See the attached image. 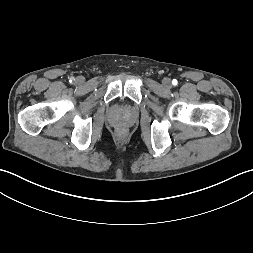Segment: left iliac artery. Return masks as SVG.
<instances>
[{
  "mask_svg": "<svg viewBox=\"0 0 253 253\" xmlns=\"http://www.w3.org/2000/svg\"><path fill=\"white\" fill-rule=\"evenodd\" d=\"M172 84H173V85H177V80H176V79H173Z\"/></svg>",
  "mask_w": 253,
  "mask_h": 253,
  "instance_id": "44dca946",
  "label": "left iliac artery"
}]
</instances>
